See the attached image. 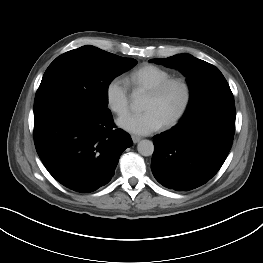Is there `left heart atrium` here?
Returning <instances> with one entry per match:
<instances>
[{
	"label": "left heart atrium",
	"mask_w": 263,
	"mask_h": 263,
	"mask_svg": "<svg viewBox=\"0 0 263 263\" xmlns=\"http://www.w3.org/2000/svg\"><path fill=\"white\" fill-rule=\"evenodd\" d=\"M117 125L121 129L136 135H148L159 130L164 125V121L156 111L148 109L120 117L117 120Z\"/></svg>",
	"instance_id": "1"
}]
</instances>
